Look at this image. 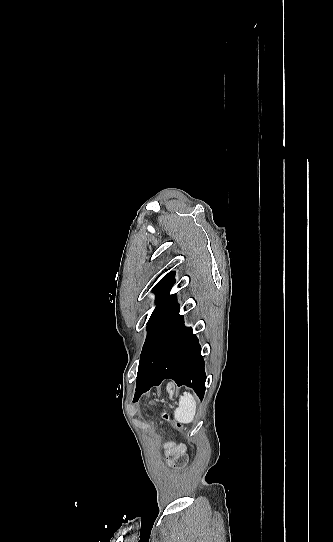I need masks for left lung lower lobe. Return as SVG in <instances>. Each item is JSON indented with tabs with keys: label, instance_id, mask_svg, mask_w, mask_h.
Here are the masks:
<instances>
[{
	"label": "left lung lower lobe",
	"instance_id": "0a47b994",
	"mask_svg": "<svg viewBox=\"0 0 333 542\" xmlns=\"http://www.w3.org/2000/svg\"><path fill=\"white\" fill-rule=\"evenodd\" d=\"M186 385L203 398L206 374L201 346L191 327H185L179 309L149 344L137 374L134 401L164 379Z\"/></svg>",
	"mask_w": 333,
	"mask_h": 542
}]
</instances>
